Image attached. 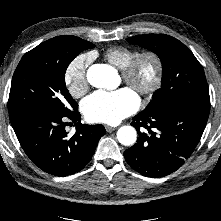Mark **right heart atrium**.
I'll list each match as a JSON object with an SVG mask.
<instances>
[{
    "mask_svg": "<svg viewBox=\"0 0 221 221\" xmlns=\"http://www.w3.org/2000/svg\"><path fill=\"white\" fill-rule=\"evenodd\" d=\"M91 60V54H80L68 64L65 70L66 87L75 98L83 96L88 91L87 69Z\"/></svg>",
    "mask_w": 221,
    "mask_h": 221,
    "instance_id": "right-heart-atrium-1",
    "label": "right heart atrium"
}]
</instances>
